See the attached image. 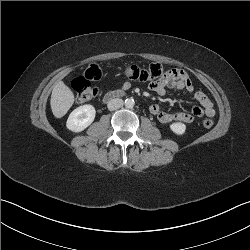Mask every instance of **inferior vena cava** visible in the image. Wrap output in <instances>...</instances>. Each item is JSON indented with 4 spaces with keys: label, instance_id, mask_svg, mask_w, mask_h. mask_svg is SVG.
<instances>
[{
    "label": "inferior vena cava",
    "instance_id": "602c4592",
    "mask_svg": "<svg viewBox=\"0 0 250 250\" xmlns=\"http://www.w3.org/2000/svg\"><path fill=\"white\" fill-rule=\"evenodd\" d=\"M123 104H124V102L122 99L114 98L108 102L107 106H108V109L110 111H114V110L121 108L123 106Z\"/></svg>",
    "mask_w": 250,
    "mask_h": 250
}]
</instances>
